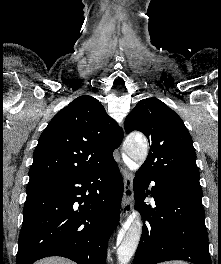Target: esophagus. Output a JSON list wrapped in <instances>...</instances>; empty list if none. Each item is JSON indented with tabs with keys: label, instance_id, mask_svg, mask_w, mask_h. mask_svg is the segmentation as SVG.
Instances as JSON below:
<instances>
[{
	"label": "esophagus",
	"instance_id": "34e87169",
	"mask_svg": "<svg viewBox=\"0 0 221 264\" xmlns=\"http://www.w3.org/2000/svg\"><path fill=\"white\" fill-rule=\"evenodd\" d=\"M122 174L124 178V193L120 217L121 219H124L132 211L131 199L133 196V176L132 173L124 167L122 168Z\"/></svg>",
	"mask_w": 221,
	"mask_h": 264
}]
</instances>
